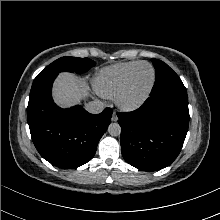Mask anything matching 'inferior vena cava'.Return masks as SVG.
Instances as JSON below:
<instances>
[{
  "mask_svg": "<svg viewBox=\"0 0 220 220\" xmlns=\"http://www.w3.org/2000/svg\"><path fill=\"white\" fill-rule=\"evenodd\" d=\"M85 108L89 113L98 114L104 110L105 104L100 100H94L86 104Z\"/></svg>",
  "mask_w": 220,
  "mask_h": 220,
  "instance_id": "inferior-vena-cava-1",
  "label": "inferior vena cava"
}]
</instances>
